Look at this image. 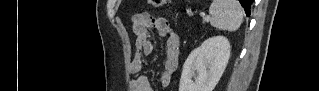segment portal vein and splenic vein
Returning <instances> with one entry per match:
<instances>
[{"label":"portal vein and splenic vein","mask_w":319,"mask_h":91,"mask_svg":"<svg viewBox=\"0 0 319 91\" xmlns=\"http://www.w3.org/2000/svg\"><path fill=\"white\" fill-rule=\"evenodd\" d=\"M204 20H205V21H208V20H209V18H208V17H206Z\"/></svg>","instance_id":"18ae733b"}]
</instances>
